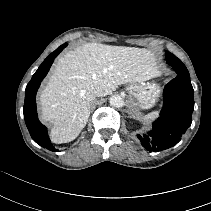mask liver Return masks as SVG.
Returning a JSON list of instances; mask_svg holds the SVG:
<instances>
[{
    "mask_svg": "<svg viewBox=\"0 0 211 211\" xmlns=\"http://www.w3.org/2000/svg\"><path fill=\"white\" fill-rule=\"evenodd\" d=\"M157 76L155 57L147 49L86 43L58 59L40 94L41 119L53 125L54 143L70 142L88 121L96 87L107 96L118 85Z\"/></svg>",
    "mask_w": 211,
    "mask_h": 211,
    "instance_id": "6515ba94",
    "label": "liver"
}]
</instances>
